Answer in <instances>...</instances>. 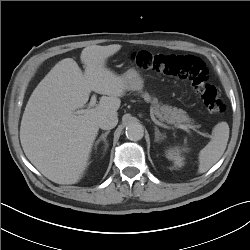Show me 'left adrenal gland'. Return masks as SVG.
<instances>
[{
  "mask_svg": "<svg viewBox=\"0 0 250 250\" xmlns=\"http://www.w3.org/2000/svg\"><path fill=\"white\" fill-rule=\"evenodd\" d=\"M165 137L166 136L159 131L157 126H155V141L159 142L161 140H164Z\"/></svg>",
  "mask_w": 250,
  "mask_h": 250,
  "instance_id": "a2214340",
  "label": "left adrenal gland"
}]
</instances>
